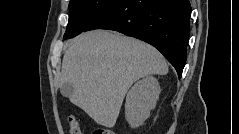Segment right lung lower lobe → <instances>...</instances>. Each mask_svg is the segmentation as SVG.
Segmentation results:
<instances>
[{
  "label": "right lung lower lobe",
  "mask_w": 239,
  "mask_h": 134,
  "mask_svg": "<svg viewBox=\"0 0 239 134\" xmlns=\"http://www.w3.org/2000/svg\"><path fill=\"white\" fill-rule=\"evenodd\" d=\"M191 5L189 0H117L84 29L115 30L156 47L179 78L187 58Z\"/></svg>",
  "instance_id": "obj_1"
}]
</instances>
